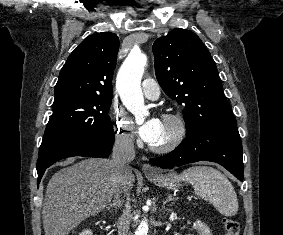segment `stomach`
<instances>
[{"label": "stomach", "instance_id": "obj_1", "mask_svg": "<svg viewBox=\"0 0 283 235\" xmlns=\"http://www.w3.org/2000/svg\"><path fill=\"white\" fill-rule=\"evenodd\" d=\"M147 179L159 187L168 189H177L180 186V178L176 172H169L166 174H147Z\"/></svg>", "mask_w": 283, "mask_h": 235}]
</instances>
